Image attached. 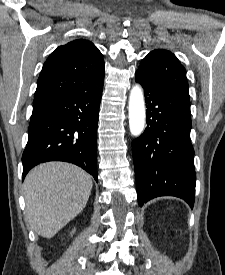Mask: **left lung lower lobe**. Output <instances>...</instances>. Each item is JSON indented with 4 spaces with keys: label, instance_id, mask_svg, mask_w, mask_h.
<instances>
[{
    "label": "left lung lower lobe",
    "instance_id": "0a47b994",
    "mask_svg": "<svg viewBox=\"0 0 225 275\" xmlns=\"http://www.w3.org/2000/svg\"><path fill=\"white\" fill-rule=\"evenodd\" d=\"M147 127L132 142L137 198L140 206L158 196H176L192 208L196 174L190 139V100L142 76Z\"/></svg>",
    "mask_w": 225,
    "mask_h": 275
}]
</instances>
